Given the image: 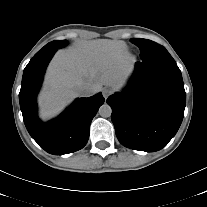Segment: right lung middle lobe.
<instances>
[{"mask_svg":"<svg viewBox=\"0 0 207 207\" xmlns=\"http://www.w3.org/2000/svg\"><path fill=\"white\" fill-rule=\"evenodd\" d=\"M67 44H68L67 40H62V41L55 40V41L49 42L41 50H39L35 55H39L41 53H45L49 51H57V49L65 47Z\"/></svg>","mask_w":207,"mask_h":207,"instance_id":"dd1d6c3e","label":"right lung middle lobe"}]
</instances>
